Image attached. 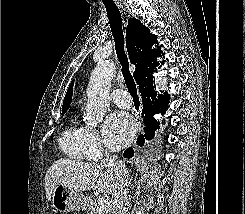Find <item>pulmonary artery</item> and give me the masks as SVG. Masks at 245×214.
Returning a JSON list of instances; mask_svg holds the SVG:
<instances>
[{"mask_svg":"<svg viewBox=\"0 0 245 214\" xmlns=\"http://www.w3.org/2000/svg\"><path fill=\"white\" fill-rule=\"evenodd\" d=\"M111 99L115 104L123 108H129L132 105V97L123 89L114 90L111 93Z\"/></svg>","mask_w":245,"mask_h":214,"instance_id":"pulmonary-artery-1","label":"pulmonary artery"}]
</instances>
